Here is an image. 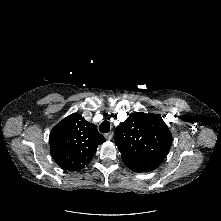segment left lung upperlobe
I'll return each mask as SVG.
<instances>
[{"label": "left lung upper lobe", "instance_id": "5c2ea615", "mask_svg": "<svg viewBox=\"0 0 221 221\" xmlns=\"http://www.w3.org/2000/svg\"><path fill=\"white\" fill-rule=\"evenodd\" d=\"M172 135L158 115L133 113L115 130V145L126 166L135 172L156 169L166 157Z\"/></svg>", "mask_w": 221, "mask_h": 221}]
</instances>
